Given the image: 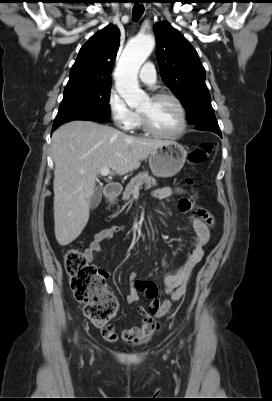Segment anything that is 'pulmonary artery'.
Listing matches in <instances>:
<instances>
[{"label": "pulmonary artery", "instance_id": "e3ab8cb5", "mask_svg": "<svg viewBox=\"0 0 272 401\" xmlns=\"http://www.w3.org/2000/svg\"><path fill=\"white\" fill-rule=\"evenodd\" d=\"M139 78L143 83L148 85H153L155 83L156 73L152 63H145L140 72Z\"/></svg>", "mask_w": 272, "mask_h": 401}]
</instances>
